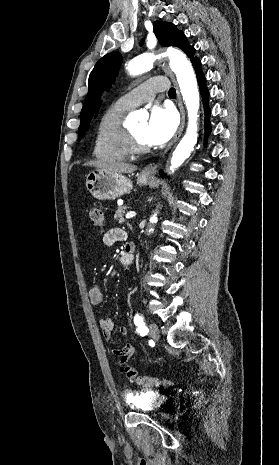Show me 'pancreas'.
<instances>
[{"label": "pancreas", "instance_id": "obj_1", "mask_svg": "<svg viewBox=\"0 0 279 465\" xmlns=\"http://www.w3.org/2000/svg\"><path fill=\"white\" fill-rule=\"evenodd\" d=\"M126 210H127V206L122 205V206H118L115 212L114 219L118 220L120 224L124 223V214Z\"/></svg>", "mask_w": 279, "mask_h": 465}]
</instances>
